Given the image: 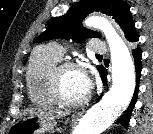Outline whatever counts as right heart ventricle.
Returning <instances> with one entry per match:
<instances>
[{"mask_svg": "<svg viewBox=\"0 0 153 134\" xmlns=\"http://www.w3.org/2000/svg\"><path fill=\"white\" fill-rule=\"evenodd\" d=\"M61 57L50 47H37L31 54L26 70V86L30 100L39 106H53L57 101L50 91L49 73Z\"/></svg>", "mask_w": 153, "mask_h": 134, "instance_id": "right-heart-ventricle-1", "label": "right heart ventricle"}]
</instances>
